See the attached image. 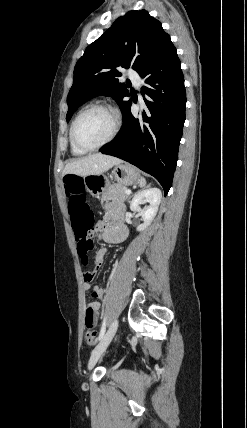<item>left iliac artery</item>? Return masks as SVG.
I'll return each mask as SVG.
<instances>
[{
  "instance_id": "44dca946",
  "label": "left iliac artery",
  "mask_w": 247,
  "mask_h": 428,
  "mask_svg": "<svg viewBox=\"0 0 247 428\" xmlns=\"http://www.w3.org/2000/svg\"><path fill=\"white\" fill-rule=\"evenodd\" d=\"M105 330H106V318L104 317L102 327H101V330L99 333L98 341H100L102 339V337L104 336Z\"/></svg>"
}]
</instances>
